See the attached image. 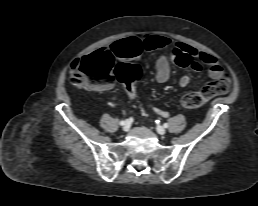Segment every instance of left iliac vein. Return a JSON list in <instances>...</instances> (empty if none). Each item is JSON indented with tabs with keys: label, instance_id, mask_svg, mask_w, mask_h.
Segmentation results:
<instances>
[{
	"label": "left iliac vein",
	"instance_id": "left-iliac-vein-1",
	"mask_svg": "<svg viewBox=\"0 0 258 206\" xmlns=\"http://www.w3.org/2000/svg\"><path fill=\"white\" fill-rule=\"evenodd\" d=\"M157 132L160 134V135H164L166 133V130L163 126H157L156 128Z\"/></svg>",
	"mask_w": 258,
	"mask_h": 206
}]
</instances>
